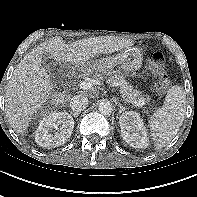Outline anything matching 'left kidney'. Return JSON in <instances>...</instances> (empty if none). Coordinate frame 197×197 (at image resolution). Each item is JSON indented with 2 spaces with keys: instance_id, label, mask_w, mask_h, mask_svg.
<instances>
[{
  "instance_id": "5707ae66",
  "label": "left kidney",
  "mask_w": 197,
  "mask_h": 197,
  "mask_svg": "<svg viewBox=\"0 0 197 197\" xmlns=\"http://www.w3.org/2000/svg\"><path fill=\"white\" fill-rule=\"evenodd\" d=\"M119 124L123 140L134 148H147L149 139L146 127L139 114L134 111L125 112L120 116Z\"/></svg>"
}]
</instances>
